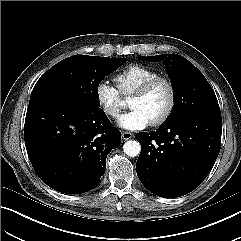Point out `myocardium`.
I'll return each instance as SVG.
<instances>
[{"mask_svg":"<svg viewBox=\"0 0 241 241\" xmlns=\"http://www.w3.org/2000/svg\"><path fill=\"white\" fill-rule=\"evenodd\" d=\"M159 84H164L167 86L169 91V102L166 107V109L163 111V113L158 116L157 118L150 121L151 126H159L165 123L170 116L172 115L177 101V90L175 87V84L170 78L164 77V76H157L147 82H145L143 85H141L139 88H137L132 96L137 97H143L147 95L154 87H156Z\"/></svg>","mask_w":241,"mask_h":241,"instance_id":"1","label":"myocardium"}]
</instances>
